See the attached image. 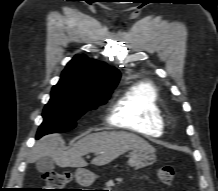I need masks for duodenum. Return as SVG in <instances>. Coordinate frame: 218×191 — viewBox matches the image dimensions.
<instances>
[{"label": "duodenum", "mask_w": 218, "mask_h": 191, "mask_svg": "<svg viewBox=\"0 0 218 191\" xmlns=\"http://www.w3.org/2000/svg\"><path fill=\"white\" fill-rule=\"evenodd\" d=\"M77 179L78 181L80 182H84L85 179H86V174H85V171L83 169H79L77 171Z\"/></svg>", "instance_id": "duodenum-1"}]
</instances>
